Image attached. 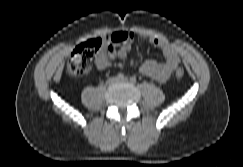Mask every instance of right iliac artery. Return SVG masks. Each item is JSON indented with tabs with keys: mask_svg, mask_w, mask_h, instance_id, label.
Segmentation results:
<instances>
[{
	"mask_svg": "<svg viewBox=\"0 0 243 167\" xmlns=\"http://www.w3.org/2000/svg\"><path fill=\"white\" fill-rule=\"evenodd\" d=\"M117 78L122 80V79H124V75L122 73H118L117 74Z\"/></svg>",
	"mask_w": 243,
	"mask_h": 167,
	"instance_id": "82829eb1",
	"label": "right iliac artery"
}]
</instances>
